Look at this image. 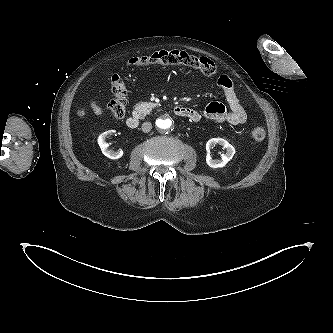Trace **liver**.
<instances>
[{
	"instance_id": "6515ba94",
	"label": "liver",
	"mask_w": 333,
	"mask_h": 333,
	"mask_svg": "<svg viewBox=\"0 0 333 333\" xmlns=\"http://www.w3.org/2000/svg\"><path fill=\"white\" fill-rule=\"evenodd\" d=\"M91 108L93 109L94 113L96 115H101L103 113V110L101 107H99L95 101L91 102Z\"/></svg>"
}]
</instances>
